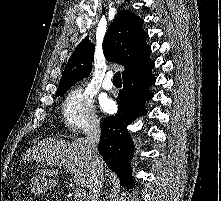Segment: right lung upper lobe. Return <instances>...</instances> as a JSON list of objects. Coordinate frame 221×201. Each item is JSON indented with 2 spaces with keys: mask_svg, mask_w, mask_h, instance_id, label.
Here are the masks:
<instances>
[{
  "mask_svg": "<svg viewBox=\"0 0 221 201\" xmlns=\"http://www.w3.org/2000/svg\"><path fill=\"white\" fill-rule=\"evenodd\" d=\"M143 20L128 10L118 12L103 40L108 61L122 64L123 78L138 73L153 62L146 43L148 33L142 28ZM95 46L88 36L76 47L62 74L56 93L67 91L77 81L87 77L92 68Z\"/></svg>",
  "mask_w": 221,
  "mask_h": 201,
  "instance_id": "1",
  "label": "right lung upper lobe"
}]
</instances>
